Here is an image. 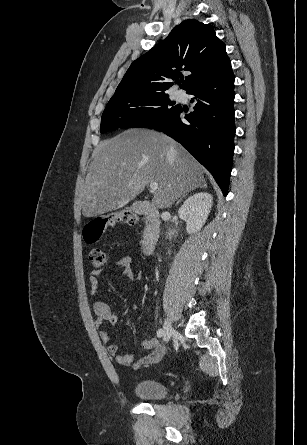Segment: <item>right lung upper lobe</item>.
<instances>
[{
	"mask_svg": "<svg viewBox=\"0 0 307 445\" xmlns=\"http://www.w3.org/2000/svg\"><path fill=\"white\" fill-rule=\"evenodd\" d=\"M229 63L225 44L214 29L188 19L130 65L112 98L165 93L173 85L170 80L181 78L182 71L192 73L181 85L187 91Z\"/></svg>",
	"mask_w": 307,
	"mask_h": 445,
	"instance_id": "cb5924a9",
	"label": "right lung upper lobe"
}]
</instances>
